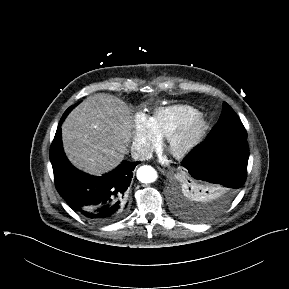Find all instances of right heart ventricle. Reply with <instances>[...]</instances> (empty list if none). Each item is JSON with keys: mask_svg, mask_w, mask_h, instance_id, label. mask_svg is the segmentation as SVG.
Instances as JSON below:
<instances>
[{"mask_svg": "<svg viewBox=\"0 0 289 289\" xmlns=\"http://www.w3.org/2000/svg\"><path fill=\"white\" fill-rule=\"evenodd\" d=\"M199 115L200 112L190 105H171L155 109L150 117V123L156 136L163 140L169 139Z\"/></svg>", "mask_w": 289, "mask_h": 289, "instance_id": "1", "label": "right heart ventricle"}]
</instances>
